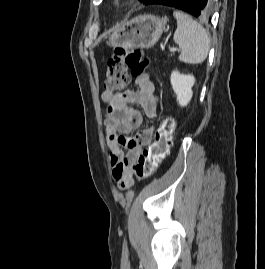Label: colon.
I'll use <instances>...</instances> for the list:
<instances>
[{
    "instance_id": "1",
    "label": "colon",
    "mask_w": 265,
    "mask_h": 269,
    "mask_svg": "<svg viewBox=\"0 0 265 269\" xmlns=\"http://www.w3.org/2000/svg\"><path fill=\"white\" fill-rule=\"evenodd\" d=\"M150 65L149 60L139 49L118 47L109 58L105 88L116 92L124 89L129 81V71L142 74ZM174 133V122L163 118L157 126L152 143L139 155L133 165V174L139 180L152 175L167 155Z\"/></svg>"
}]
</instances>
